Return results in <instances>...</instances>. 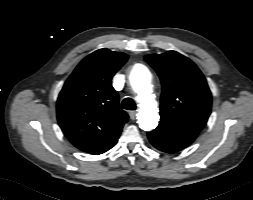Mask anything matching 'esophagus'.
<instances>
[{
	"label": "esophagus",
	"instance_id": "34e87169",
	"mask_svg": "<svg viewBox=\"0 0 253 200\" xmlns=\"http://www.w3.org/2000/svg\"><path fill=\"white\" fill-rule=\"evenodd\" d=\"M129 116H130V118H131L132 120H135V119H136V116H137V113H136L135 111H131V112L129 113Z\"/></svg>",
	"mask_w": 253,
	"mask_h": 200
}]
</instances>
